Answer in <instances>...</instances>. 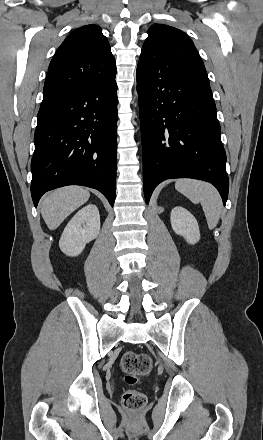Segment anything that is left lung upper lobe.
Returning a JSON list of instances; mask_svg holds the SVG:
<instances>
[{
    "label": "left lung upper lobe",
    "instance_id": "1",
    "mask_svg": "<svg viewBox=\"0 0 263 440\" xmlns=\"http://www.w3.org/2000/svg\"><path fill=\"white\" fill-rule=\"evenodd\" d=\"M168 63L210 85L203 61L192 40L177 28L154 24L148 30L138 64L161 67Z\"/></svg>",
    "mask_w": 263,
    "mask_h": 440
}]
</instances>
